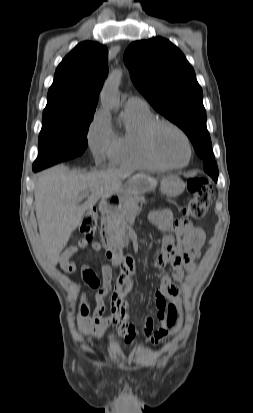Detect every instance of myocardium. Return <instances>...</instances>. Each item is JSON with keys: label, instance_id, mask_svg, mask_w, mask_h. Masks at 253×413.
Returning a JSON list of instances; mask_svg holds the SVG:
<instances>
[{"label": "myocardium", "instance_id": "1", "mask_svg": "<svg viewBox=\"0 0 253 413\" xmlns=\"http://www.w3.org/2000/svg\"><path fill=\"white\" fill-rule=\"evenodd\" d=\"M162 126H167L173 130H175L176 132H178L184 139L186 146H187V150H188V156L187 159L184 163L182 164H172L169 163L167 161H165L157 152L156 148H155V144H154V136L156 131L162 127ZM143 142H144V147L146 149L147 154L149 155V157L158 165H160L163 168H168V169H181L186 167L192 158V154H193V147H192V143L191 140L189 138V136L186 134V132L179 127L177 124L169 121V120H165V119H155L154 121H152L151 123H149L145 130H144V134H143Z\"/></svg>", "mask_w": 253, "mask_h": 413}]
</instances>
